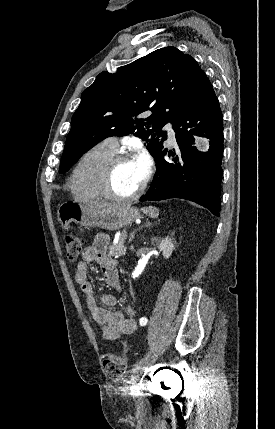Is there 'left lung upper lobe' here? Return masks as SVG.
<instances>
[{
    "label": "left lung upper lobe",
    "mask_w": 275,
    "mask_h": 429,
    "mask_svg": "<svg viewBox=\"0 0 275 429\" xmlns=\"http://www.w3.org/2000/svg\"><path fill=\"white\" fill-rule=\"evenodd\" d=\"M201 72L193 57L165 47L118 68L115 74L100 73L81 95L59 172L68 171L103 139L130 133L146 141L155 158L167 138L162 128L168 122L173 125L186 107ZM147 110L152 115L144 118Z\"/></svg>",
    "instance_id": "left-lung-upper-lobe-1"
}]
</instances>
